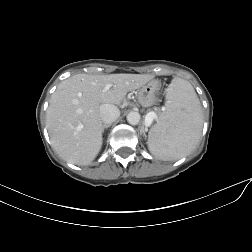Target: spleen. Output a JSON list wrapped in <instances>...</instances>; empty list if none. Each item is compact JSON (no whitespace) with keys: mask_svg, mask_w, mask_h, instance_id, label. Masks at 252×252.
Listing matches in <instances>:
<instances>
[{"mask_svg":"<svg viewBox=\"0 0 252 252\" xmlns=\"http://www.w3.org/2000/svg\"><path fill=\"white\" fill-rule=\"evenodd\" d=\"M202 126V108L193 86L174 78L166 93L165 111L149 131V150L161 160L180 159L196 146Z\"/></svg>","mask_w":252,"mask_h":252,"instance_id":"spleen-1","label":"spleen"}]
</instances>
